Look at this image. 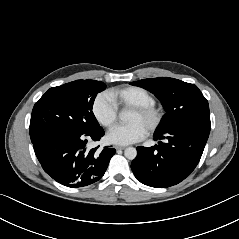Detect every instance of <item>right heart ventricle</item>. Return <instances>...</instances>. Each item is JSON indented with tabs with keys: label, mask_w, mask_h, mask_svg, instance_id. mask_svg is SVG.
Returning <instances> with one entry per match:
<instances>
[{
	"label": "right heart ventricle",
	"mask_w": 239,
	"mask_h": 239,
	"mask_svg": "<svg viewBox=\"0 0 239 239\" xmlns=\"http://www.w3.org/2000/svg\"><path fill=\"white\" fill-rule=\"evenodd\" d=\"M108 95L115 105L121 108H133L136 106L155 104L153 95L146 89L137 86H129L114 90L109 92Z\"/></svg>",
	"instance_id": "obj_1"
}]
</instances>
